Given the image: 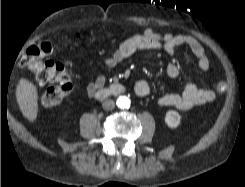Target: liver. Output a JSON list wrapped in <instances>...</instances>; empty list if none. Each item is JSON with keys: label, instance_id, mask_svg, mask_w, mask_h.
<instances>
[{"label": "liver", "instance_id": "obj_1", "mask_svg": "<svg viewBox=\"0 0 245 187\" xmlns=\"http://www.w3.org/2000/svg\"><path fill=\"white\" fill-rule=\"evenodd\" d=\"M38 92L36 86L25 78H21L16 88V99L25 118L34 122L38 115Z\"/></svg>", "mask_w": 245, "mask_h": 187}]
</instances>
